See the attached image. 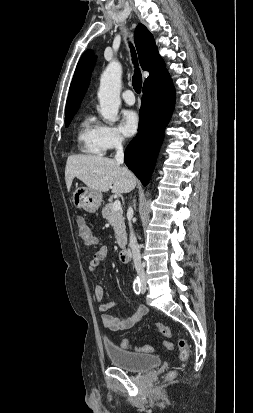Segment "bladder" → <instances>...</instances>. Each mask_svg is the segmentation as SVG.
Instances as JSON below:
<instances>
[{
  "label": "bladder",
  "mask_w": 253,
  "mask_h": 413,
  "mask_svg": "<svg viewBox=\"0 0 253 413\" xmlns=\"http://www.w3.org/2000/svg\"><path fill=\"white\" fill-rule=\"evenodd\" d=\"M104 351L112 365L131 372L146 371L161 364L158 355L129 351L108 341L104 343Z\"/></svg>",
  "instance_id": "31cf9c89"
}]
</instances>
